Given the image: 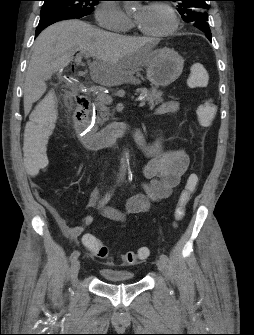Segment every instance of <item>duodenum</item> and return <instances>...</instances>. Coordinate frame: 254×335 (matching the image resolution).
Listing matches in <instances>:
<instances>
[{
    "instance_id": "duodenum-1",
    "label": "duodenum",
    "mask_w": 254,
    "mask_h": 335,
    "mask_svg": "<svg viewBox=\"0 0 254 335\" xmlns=\"http://www.w3.org/2000/svg\"><path fill=\"white\" fill-rule=\"evenodd\" d=\"M76 109L74 113L75 130L80 142L88 149L98 150L111 146L117 138L127 130L122 123H113L101 131L95 132L90 128L89 111L91 103L89 98L80 94L75 97ZM135 141L143 139L140 130L133 132Z\"/></svg>"
}]
</instances>
